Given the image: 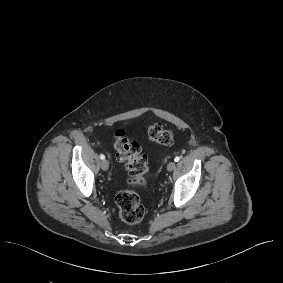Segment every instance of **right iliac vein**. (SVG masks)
Returning a JSON list of instances; mask_svg holds the SVG:
<instances>
[{
	"label": "right iliac vein",
	"mask_w": 283,
	"mask_h": 283,
	"mask_svg": "<svg viewBox=\"0 0 283 283\" xmlns=\"http://www.w3.org/2000/svg\"><path fill=\"white\" fill-rule=\"evenodd\" d=\"M101 167L104 171L108 170L109 168V163L106 159H104L102 162H101Z\"/></svg>",
	"instance_id": "63e3f726"
}]
</instances>
